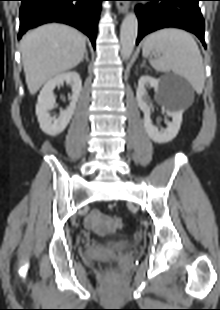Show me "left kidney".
Returning <instances> with one entry per match:
<instances>
[{"mask_svg": "<svg viewBox=\"0 0 220 310\" xmlns=\"http://www.w3.org/2000/svg\"><path fill=\"white\" fill-rule=\"evenodd\" d=\"M153 87L157 93V100L164 103L166 107L167 115L172 118V122L167 124V128L161 131L156 128L151 121V107L147 100L146 87ZM169 84L161 81L160 79H154L150 76H142L138 81V88L136 92V100L139 108L144 113L143 124L144 128L150 137L156 143H167L172 141L180 129L182 123L183 108H172L170 104L166 103V97L170 92Z\"/></svg>", "mask_w": 220, "mask_h": 310, "instance_id": "obj_1", "label": "left kidney"}]
</instances>
